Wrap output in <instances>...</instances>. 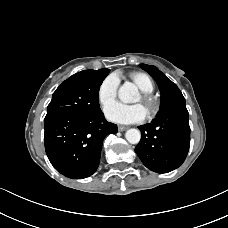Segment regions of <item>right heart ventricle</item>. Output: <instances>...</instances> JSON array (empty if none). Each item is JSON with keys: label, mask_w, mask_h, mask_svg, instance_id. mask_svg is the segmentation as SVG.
<instances>
[{"label": "right heart ventricle", "mask_w": 228, "mask_h": 228, "mask_svg": "<svg viewBox=\"0 0 228 228\" xmlns=\"http://www.w3.org/2000/svg\"><path fill=\"white\" fill-rule=\"evenodd\" d=\"M130 77L142 92H153L154 84L148 75L141 72H134L130 75Z\"/></svg>", "instance_id": "right-heart-ventricle-1"}]
</instances>
